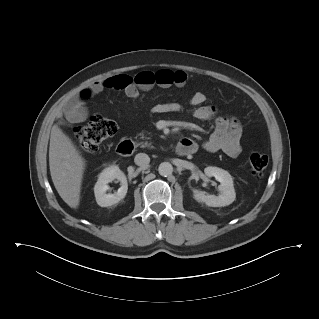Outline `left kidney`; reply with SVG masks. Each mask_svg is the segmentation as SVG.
<instances>
[{
    "label": "left kidney",
    "instance_id": "left-kidney-1",
    "mask_svg": "<svg viewBox=\"0 0 319 319\" xmlns=\"http://www.w3.org/2000/svg\"><path fill=\"white\" fill-rule=\"evenodd\" d=\"M207 177H215L220 182L218 186L221 192L218 196L205 194L203 191L194 190L193 197L197 202H203L210 207H222L230 205L236 198L232 176L218 167H206L204 169Z\"/></svg>",
    "mask_w": 319,
    "mask_h": 319
}]
</instances>
